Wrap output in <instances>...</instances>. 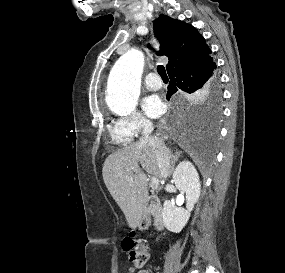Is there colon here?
Here are the masks:
<instances>
[{
    "label": "colon",
    "instance_id": "1",
    "mask_svg": "<svg viewBox=\"0 0 285 273\" xmlns=\"http://www.w3.org/2000/svg\"><path fill=\"white\" fill-rule=\"evenodd\" d=\"M122 247L128 255L131 267L129 273L141 269L149 259V249L144 241L137 240L134 237L125 238L122 241Z\"/></svg>",
    "mask_w": 285,
    "mask_h": 273
}]
</instances>
